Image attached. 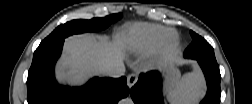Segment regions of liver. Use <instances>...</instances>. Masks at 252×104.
Wrapping results in <instances>:
<instances>
[{
  "label": "liver",
  "mask_w": 252,
  "mask_h": 104,
  "mask_svg": "<svg viewBox=\"0 0 252 104\" xmlns=\"http://www.w3.org/2000/svg\"><path fill=\"white\" fill-rule=\"evenodd\" d=\"M123 63V41L97 40L90 34L66 39L64 53L59 62L57 78L73 84L83 83L89 76Z\"/></svg>",
  "instance_id": "liver-1"
}]
</instances>
